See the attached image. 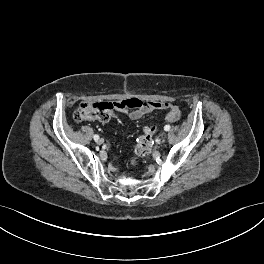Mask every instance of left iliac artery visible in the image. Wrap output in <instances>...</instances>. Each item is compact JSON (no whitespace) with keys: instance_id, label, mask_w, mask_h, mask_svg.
<instances>
[{"instance_id":"44dca946","label":"left iliac artery","mask_w":264,"mask_h":264,"mask_svg":"<svg viewBox=\"0 0 264 264\" xmlns=\"http://www.w3.org/2000/svg\"><path fill=\"white\" fill-rule=\"evenodd\" d=\"M170 128H171L170 125H165L164 130H165V131H169Z\"/></svg>"}]
</instances>
